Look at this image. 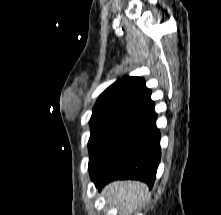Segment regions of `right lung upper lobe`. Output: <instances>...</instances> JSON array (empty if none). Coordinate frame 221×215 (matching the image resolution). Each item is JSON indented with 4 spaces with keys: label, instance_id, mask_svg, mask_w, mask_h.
Segmentation results:
<instances>
[{
    "label": "right lung upper lobe",
    "instance_id": "1",
    "mask_svg": "<svg viewBox=\"0 0 221 215\" xmlns=\"http://www.w3.org/2000/svg\"><path fill=\"white\" fill-rule=\"evenodd\" d=\"M150 96L151 91L145 86L143 78L125 76L110 85L96 104H117L140 110L153 103Z\"/></svg>",
    "mask_w": 221,
    "mask_h": 215
}]
</instances>
